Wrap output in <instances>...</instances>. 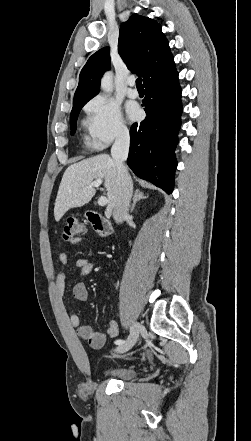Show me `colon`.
Masks as SVG:
<instances>
[{
	"mask_svg": "<svg viewBox=\"0 0 251 441\" xmlns=\"http://www.w3.org/2000/svg\"><path fill=\"white\" fill-rule=\"evenodd\" d=\"M84 226L81 221L75 217H69L62 227V238L64 240H73L81 235Z\"/></svg>",
	"mask_w": 251,
	"mask_h": 441,
	"instance_id": "1",
	"label": "colon"
}]
</instances>
